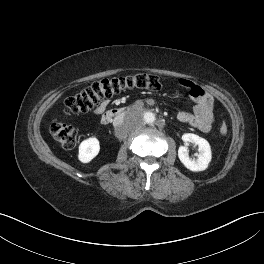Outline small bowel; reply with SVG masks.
Instances as JSON below:
<instances>
[{"label":"small bowel","mask_w":264,"mask_h":264,"mask_svg":"<svg viewBox=\"0 0 264 264\" xmlns=\"http://www.w3.org/2000/svg\"><path fill=\"white\" fill-rule=\"evenodd\" d=\"M181 86L188 90L190 98L194 101L193 113L181 111L177 114L178 121L188 124L202 132H208L212 128L213 116V98L200 86L188 79H180ZM109 100L102 101L95 109L96 115L102 114L107 106Z\"/></svg>","instance_id":"obj_1"}]
</instances>
